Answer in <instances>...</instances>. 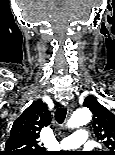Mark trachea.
I'll return each instance as SVG.
<instances>
[{"label":"trachea","instance_id":"3493384b","mask_svg":"<svg viewBox=\"0 0 115 155\" xmlns=\"http://www.w3.org/2000/svg\"><path fill=\"white\" fill-rule=\"evenodd\" d=\"M67 109L59 107L55 112V119L59 124H62L66 118Z\"/></svg>","mask_w":115,"mask_h":155}]
</instances>
